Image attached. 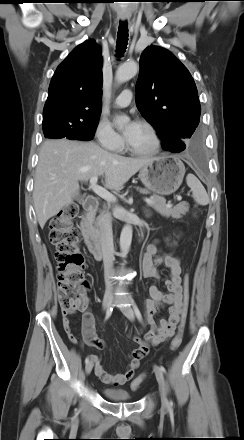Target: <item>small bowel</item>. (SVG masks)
Listing matches in <instances>:
<instances>
[{"label":"small bowel","instance_id":"c3829d8e","mask_svg":"<svg viewBox=\"0 0 244 440\" xmlns=\"http://www.w3.org/2000/svg\"><path fill=\"white\" fill-rule=\"evenodd\" d=\"M164 265L170 271V279L166 280L165 285L168 293H164L156 284L149 288L151 298L144 302L145 322L150 326L149 332L140 338L138 334L133 336V340L148 349L149 344L159 345L170 339L176 330L180 320V310L183 298V287L181 277L180 261L171 253H164L157 242L147 246L143 256V272L145 277L159 279L158 266ZM164 306L167 308V317H162L156 323L154 317L160 312ZM63 327L73 342H77L76 335L71 330L70 321L67 317L63 318ZM82 335L85 343L98 350L105 347L104 340L100 339L95 330V320L91 312L87 311L82 317ZM137 349L131 351L130 361L127 370L120 374H111L104 370L101 365V359L98 355L91 354L90 360L93 362L95 374L105 384L124 385L131 381L139 362L143 357L138 356Z\"/></svg>","mask_w":244,"mask_h":440}]
</instances>
